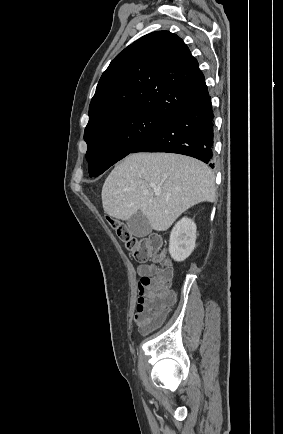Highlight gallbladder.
Wrapping results in <instances>:
<instances>
[{"label": "gallbladder", "instance_id": "gallbladder-1", "mask_svg": "<svg viewBox=\"0 0 283 434\" xmlns=\"http://www.w3.org/2000/svg\"><path fill=\"white\" fill-rule=\"evenodd\" d=\"M128 230L136 237H145L151 233L152 227L146 218L140 211L135 213L127 221Z\"/></svg>", "mask_w": 283, "mask_h": 434}]
</instances>
